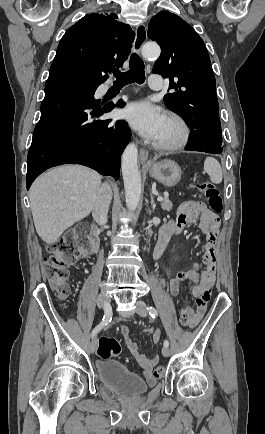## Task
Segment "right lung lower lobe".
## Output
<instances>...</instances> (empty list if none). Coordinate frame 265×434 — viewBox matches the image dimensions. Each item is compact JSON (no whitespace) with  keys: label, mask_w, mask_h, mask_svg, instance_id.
Wrapping results in <instances>:
<instances>
[{"label":"right lung lower lobe","mask_w":265,"mask_h":434,"mask_svg":"<svg viewBox=\"0 0 265 434\" xmlns=\"http://www.w3.org/2000/svg\"><path fill=\"white\" fill-rule=\"evenodd\" d=\"M103 82L49 77L27 158V189L43 171L69 163L95 169L102 175L119 178L120 156L130 140L127 123L99 119L118 103L95 100Z\"/></svg>","instance_id":"right-lung-lower-lobe-1"}]
</instances>
